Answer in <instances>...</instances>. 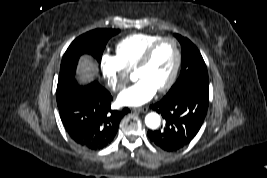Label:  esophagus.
I'll return each mask as SVG.
<instances>
[{"label":"esophagus","mask_w":267,"mask_h":178,"mask_svg":"<svg viewBox=\"0 0 267 178\" xmlns=\"http://www.w3.org/2000/svg\"><path fill=\"white\" fill-rule=\"evenodd\" d=\"M134 111H137V112H147L148 111V107H142V108H135L133 109Z\"/></svg>","instance_id":"esophagus-1"}]
</instances>
